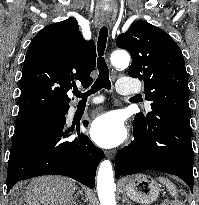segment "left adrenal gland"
I'll list each match as a JSON object with an SVG mask.
<instances>
[{
  "label": "left adrenal gland",
  "mask_w": 199,
  "mask_h": 205,
  "mask_svg": "<svg viewBox=\"0 0 199 205\" xmlns=\"http://www.w3.org/2000/svg\"><path fill=\"white\" fill-rule=\"evenodd\" d=\"M122 202L127 203V205H132L131 202L128 200V198L125 195L123 196Z\"/></svg>",
  "instance_id": "1"
}]
</instances>
